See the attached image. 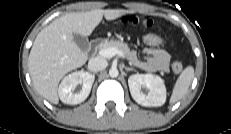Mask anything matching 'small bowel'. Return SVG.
I'll use <instances>...</instances> for the list:
<instances>
[{
    "mask_svg": "<svg viewBox=\"0 0 231 134\" xmlns=\"http://www.w3.org/2000/svg\"><path fill=\"white\" fill-rule=\"evenodd\" d=\"M119 22L125 26H142L146 29L156 30L162 33L160 26L151 18L141 19L135 14H124L119 17ZM147 55L144 59H139L137 55L130 53V59L137 67L147 71H166L170 63V54L159 47H147L145 50Z\"/></svg>",
    "mask_w": 231,
    "mask_h": 134,
    "instance_id": "obj_1",
    "label": "small bowel"
}]
</instances>
